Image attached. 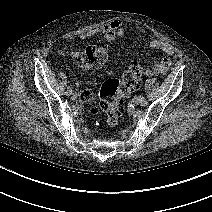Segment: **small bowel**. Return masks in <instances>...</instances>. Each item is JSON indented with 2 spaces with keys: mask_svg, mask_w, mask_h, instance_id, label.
Listing matches in <instances>:
<instances>
[{
  "mask_svg": "<svg viewBox=\"0 0 212 212\" xmlns=\"http://www.w3.org/2000/svg\"><path fill=\"white\" fill-rule=\"evenodd\" d=\"M125 33L124 27L122 25V22L120 20H113L111 22H108L106 24L100 25L96 28L88 30L85 34L81 36V38H87L94 36L96 34H103L105 39L107 41H115L118 38L122 37ZM148 45L150 48L155 50H161L168 56L172 55L174 53V47L171 43L153 38L149 40ZM59 55L61 56H69V57H78L79 51H67L64 49H60L58 51ZM171 65V60L169 57H164L159 62L155 63L153 65V70L158 75H165L167 71L169 70ZM90 91L87 89H84L81 92V100L84 101L87 99Z\"/></svg>",
  "mask_w": 212,
  "mask_h": 212,
  "instance_id": "obj_1",
  "label": "small bowel"
}]
</instances>
